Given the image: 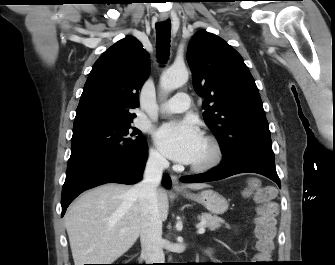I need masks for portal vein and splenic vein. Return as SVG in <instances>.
I'll return each mask as SVG.
<instances>
[{
    "instance_id": "1",
    "label": "portal vein and splenic vein",
    "mask_w": 335,
    "mask_h": 265,
    "mask_svg": "<svg viewBox=\"0 0 335 265\" xmlns=\"http://www.w3.org/2000/svg\"><path fill=\"white\" fill-rule=\"evenodd\" d=\"M205 232V227L203 225L199 226L197 233L203 234Z\"/></svg>"
}]
</instances>
